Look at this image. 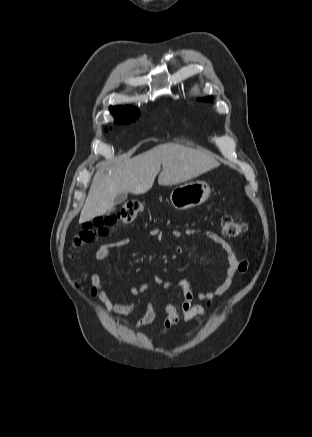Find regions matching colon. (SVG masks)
Segmentation results:
<instances>
[{
  "label": "colon",
  "instance_id": "colon-1",
  "mask_svg": "<svg viewBox=\"0 0 312 437\" xmlns=\"http://www.w3.org/2000/svg\"><path fill=\"white\" fill-rule=\"evenodd\" d=\"M143 203L139 200H126L122 203L116 215L106 218H96L84 225L74 238V247L91 242L99 236H104L115 227L130 224L143 212ZM248 229L245 221L235 220L226 215L222 218V230L225 236L235 238L243 235Z\"/></svg>",
  "mask_w": 312,
  "mask_h": 437
}]
</instances>
